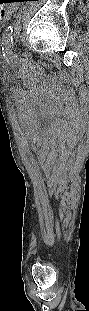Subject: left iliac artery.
I'll return each mask as SVG.
<instances>
[{
    "mask_svg": "<svg viewBox=\"0 0 89 311\" xmlns=\"http://www.w3.org/2000/svg\"><path fill=\"white\" fill-rule=\"evenodd\" d=\"M12 36H13V26L10 25L5 30L2 38V45L6 49H9L12 46Z\"/></svg>",
    "mask_w": 89,
    "mask_h": 311,
    "instance_id": "44dca946",
    "label": "left iliac artery"
}]
</instances>
